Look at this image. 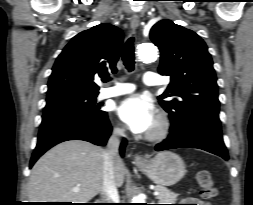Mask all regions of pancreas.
I'll list each match as a JSON object with an SVG mask.
<instances>
[{
    "label": "pancreas",
    "instance_id": "pancreas-1",
    "mask_svg": "<svg viewBox=\"0 0 253 205\" xmlns=\"http://www.w3.org/2000/svg\"><path fill=\"white\" fill-rule=\"evenodd\" d=\"M159 195L157 196L158 201L160 204H174L177 198V194L174 192H171L168 188L157 185L155 188Z\"/></svg>",
    "mask_w": 253,
    "mask_h": 205
}]
</instances>
